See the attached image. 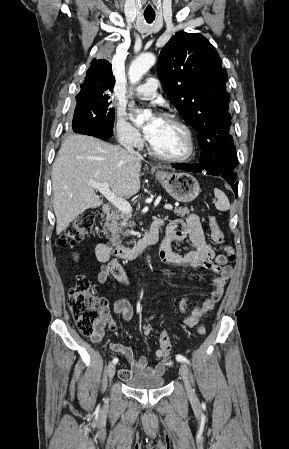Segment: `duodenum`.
I'll list each match as a JSON object with an SVG mask.
<instances>
[{"label": "duodenum", "mask_w": 289, "mask_h": 449, "mask_svg": "<svg viewBox=\"0 0 289 449\" xmlns=\"http://www.w3.org/2000/svg\"><path fill=\"white\" fill-rule=\"evenodd\" d=\"M111 213V209L109 206H103L101 210V216L105 217ZM159 224L153 223L148 233L134 242L132 245H121L117 246L113 249V253L121 258V259H134L138 255L142 253V251L148 247L149 245H153L158 241L159 237ZM102 246L108 251L111 250V247L107 243H102Z\"/></svg>", "instance_id": "obj_1"}]
</instances>
